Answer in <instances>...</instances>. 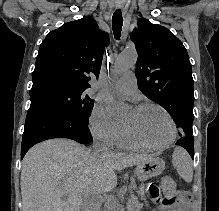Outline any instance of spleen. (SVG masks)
I'll use <instances>...</instances> for the list:
<instances>
[{
	"label": "spleen",
	"mask_w": 219,
	"mask_h": 211,
	"mask_svg": "<svg viewBox=\"0 0 219 211\" xmlns=\"http://www.w3.org/2000/svg\"><path fill=\"white\" fill-rule=\"evenodd\" d=\"M172 163L176 167L179 175L185 181H192L193 179V163L190 159L189 153L183 147H175L172 155Z\"/></svg>",
	"instance_id": "1"
}]
</instances>
